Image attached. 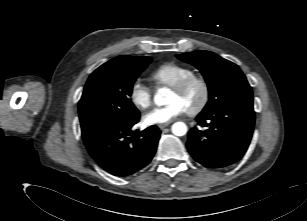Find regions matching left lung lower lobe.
Instances as JSON below:
<instances>
[{
	"mask_svg": "<svg viewBox=\"0 0 307 221\" xmlns=\"http://www.w3.org/2000/svg\"><path fill=\"white\" fill-rule=\"evenodd\" d=\"M196 120L199 127L188 132L186 143L194 160L208 168H224L243 157L254 129L253 104H232L201 112Z\"/></svg>",
	"mask_w": 307,
	"mask_h": 221,
	"instance_id": "left-lung-lower-lobe-1",
	"label": "left lung lower lobe"
}]
</instances>
